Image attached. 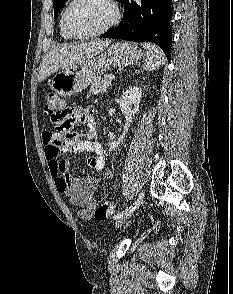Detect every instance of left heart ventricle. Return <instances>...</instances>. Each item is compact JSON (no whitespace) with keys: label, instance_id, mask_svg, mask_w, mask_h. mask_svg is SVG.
<instances>
[{"label":"left heart ventricle","instance_id":"b2bd125f","mask_svg":"<svg viewBox=\"0 0 233 294\" xmlns=\"http://www.w3.org/2000/svg\"><path fill=\"white\" fill-rule=\"evenodd\" d=\"M111 10L102 0H79L69 11L67 22L76 34H87L102 28Z\"/></svg>","mask_w":233,"mask_h":294}]
</instances>
